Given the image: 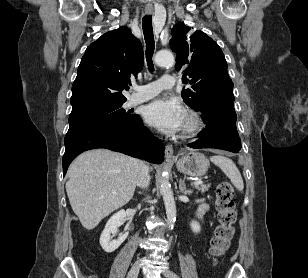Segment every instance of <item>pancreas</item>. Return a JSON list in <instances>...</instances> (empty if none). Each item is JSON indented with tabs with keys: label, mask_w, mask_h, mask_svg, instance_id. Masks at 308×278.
Here are the masks:
<instances>
[{
	"label": "pancreas",
	"mask_w": 308,
	"mask_h": 278,
	"mask_svg": "<svg viewBox=\"0 0 308 278\" xmlns=\"http://www.w3.org/2000/svg\"><path fill=\"white\" fill-rule=\"evenodd\" d=\"M195 188L199 191V192H201V193H204V192H206V191H208V186H206V185H198V186H195Z\"/></svg>",
	"instance_id": "pancreas-1"
}]
</instances>
